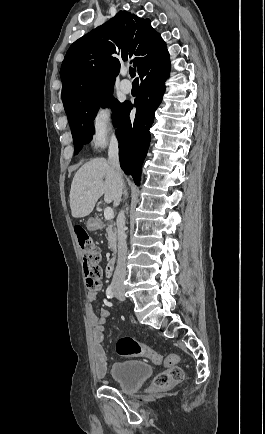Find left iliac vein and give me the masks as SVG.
<instances>
[{"label":"left iliac vein","instance_id":"4c4485c4","mask_svg":"<svg viewBox=\"0 0 265 434\" xmlns=\"http://www.w3.org/2000/svg\"><path fill=\"white\" fill-rule=\"evenodd\" d=\"M115 296L118 300H124L125 299L124 291L122 290V288H120V287L116 288Z\"/></svg>","mask_w":265,"mask_h":434}]
</instances>
